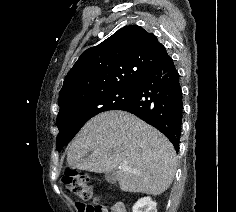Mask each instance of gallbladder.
I'll list each match as a JSON object with an SVG mask.
<instances>
[{
  "label": "gallbladder",
  "instance_id": "1",
  "mask_svg": "<svg viewBox=\"0 0 236 212\" xmlns=\"http://www.w3.org/2000/svg\"><path fill=\"white\" fill-rule=\"evenodd\" d=\"M105 179L107 180V182L115 184L117 182L116 173L114 171L105 173Z\"/></svg>",
  "mask_w": 236,
  "mask_h": 212
}]
</instances>
